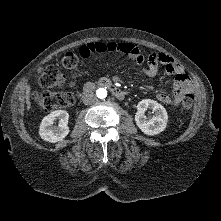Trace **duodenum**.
<instances>
[{"label":"duodenum","instance_id":"obj_1","mask_svg":"<svg viewBox=\"0 0 221 221\" xmlns=\"http://www.w3.org/2000/svg\"><path fill=\"white\" fill-rule=\"evenodd\" d=\"M96 85L109 89L111 93L120 100H123L126 97V93L108 79H104V78L99 79L96 82ZM93 87H94L93 83H87L83 88V92L87 93L91 91Z\"/></svg>","mask_w":221,"mask_h":221}]
</instances>
